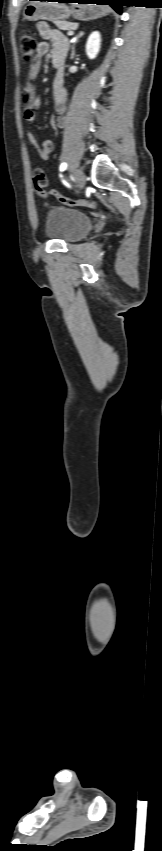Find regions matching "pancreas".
<instances>
[{
  "instance_id": "obj_1",
  "label": "pancreas",
  "mask_w": 162,
  "mask_h": 851,
  "mask_svg": "<svg viewBox=\"0 0 162 851\" xmlns=\"http://www.w3.org/2000/svg\"><path fill=\"white\" fill-rule=\"evenodd\" d=\"M55 25L63 31H72L78 27V23L66 22V21H56Z\"/></svg>"
}]
</instances>
